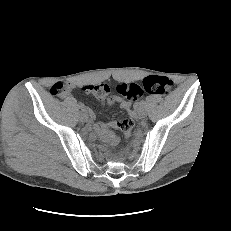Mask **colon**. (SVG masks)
Returning a JSON list of instances; mask_svg holds the SVG:
<instances>
[{"mask_svg":"<svg viewBox=\"0 0 231 231\" xmlns=\"http://www.w3.org/2000/svg\"><path fill=\"white\" fill-rule=\"evenodd\" d=\"M173 87V82L165 76L152 75L142 80L140 83L132 84H120L114 87L115 91L120 95L136 100L141 97L144 93L148 94H159L169 95ZM103 95H108L110 92L109 85H102ZM50 92L54 96H63L67 92V86L63 83H55ZM133 127V120L131 118H125L117 122V128L124 134L126 138L131 136Z\"/></svg>","mask_w":231,"mask_h":231,"instance_id":"obj_1","label":"colon"}]
</instances>
